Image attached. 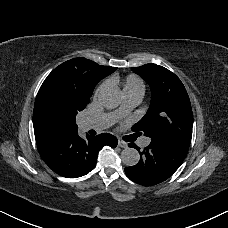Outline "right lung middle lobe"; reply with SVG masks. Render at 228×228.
Masks as SVG:
<instances>
[{
    "label": "right lung middle lobe",
    "mask_w": 228,
    "mask_h": 228,
    "mask_svg": "<svg viewBox=\"0 0 228 228\" xmlns=\"http://www.w3.org/2000/svg\"><path fill=\"white\" fill-rule=\"evenodd\" d=\"M49 112L55 117L66 119L75 123L76 115L83 110L68 102L58 91H51L46 99Z\"/></svg>",
    "instance_id": "dd1d6c3e"
}]
</instances>
